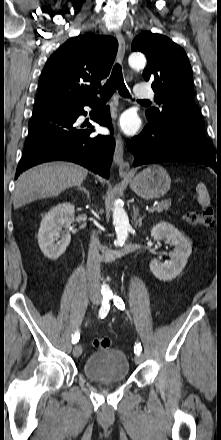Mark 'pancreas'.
I'll list each match as a JSON object with an SVG mask.
<instances>
[{"label":"pancreas","mask_w":221,"mask_h":440,"mask_svg":"<svg viewBox=\"0 0 221 440\" xmlns=\"http://www.w3.org/2000/svg\"><path fill=\"white\" fill-rule=\"evenodd\" d=\"M171 206V201L170 200H165L160 202L156 207L154 211L157 212H162L163 210H168L169 207Z\"/></svg>","instance_id":"pancreas-1"}]
</instances>
